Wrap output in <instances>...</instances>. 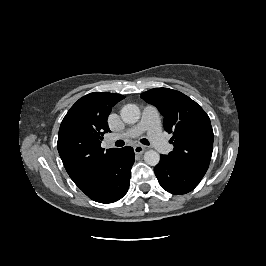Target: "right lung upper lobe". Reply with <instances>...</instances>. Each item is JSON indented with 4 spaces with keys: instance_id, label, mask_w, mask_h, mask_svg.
Here are the masks:
<instances>
[{
    "instance_id": "obj_1",
    "label": "right lung upper lobe",
    "mask_w": 266,
    "mask_h": 266,
    "mask_svg": "<svg viewBox=\"0 0 266 266\" xmlns=\"http://www.w3.org/2000/svg\"><path fill=\"white\" fill-rule=\"evenodd\" d=\"M125 97L93 92L81 97L67 112L59 129L57 148L74 183L87 195L102 185L119 151L101 148L103 134L110 132L107 118L112 107Z\"/></svg>"
}]
</instances>
